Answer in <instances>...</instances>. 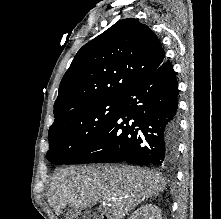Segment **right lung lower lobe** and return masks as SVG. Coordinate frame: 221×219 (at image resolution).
Wrapping results in <instances>:
<instances>
[{
  "mask_svg": "<svg viewBox=\"0 0 221 219\" xmlns=\"http://www.w3.org/2000/svg\"><path fill=\"white\" fill-rule=\"evenodd\" d=\"M177 80L169 61L133 85L111 122L65 164L117 163L166 166L177 155Z\"/></svg>",
  "mask_w": 221,
  "mask_h": 219,
  "instance_id": "1",
  "label": "right lung lower lobe"
}]
</instances>
